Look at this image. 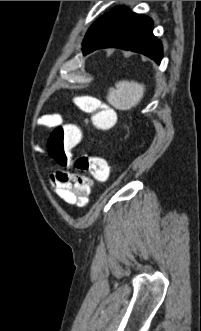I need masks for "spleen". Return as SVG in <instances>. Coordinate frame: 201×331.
Segmentation results:
<instances>
[{
  "label": "spleen",
  "mask_w": 201,
  "mask_h": 331,
  "mask_svg": "<svg viewBox=\"0 0 201 331\" xmlns=\"http://www.w3.org/2000/svg\"><path fill=\"white\" fill-rule=\"evenodd\" d=\"M110 88L108 102L119 110H130L139 104L143 98L145 86L134 81L122 80Z\"/></svg>",
  "instance_id": "obj_1"
}]
</instances>
